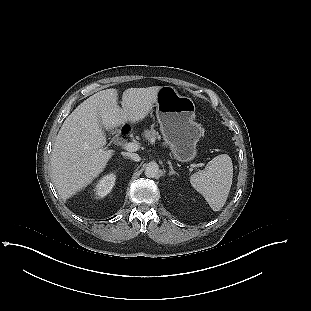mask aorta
Returning a JSON list of instances; mask_svg holds the SVG:
<instances>
[{
  "mask_svg": "<svg viewBox=\"0 0 311 311\" xmlns=\"http://www.w3.org/2000/svg\"><path fill=\"white\" fill-rule=\"evenodd\" d=\"M145 176L148 178H156L159 176L160 170L156 162H150L145 167Z\"/></svg>",
  "mask_w": 311,
  "mask_h": 311,
  "instance_id": "762f6f07",
  "label": "aorta"
}]
</instances>
